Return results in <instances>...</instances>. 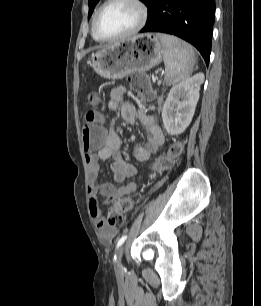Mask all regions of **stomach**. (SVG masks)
Listing matches in <instances>:
<instances>
[{
    "label": "stomach",
    "mask_w": 261,
    "mask_h": 306,
    "mask_svg": "<svg viewBox=\"0 0 261 306\" xmlns=\"http://www.w3.org/2000/svg\"><path fill=\"white\" fill-rule=\"evenodd\" d=\"M162 43L153 33L128 37L93 53L90 66L105 79H122L133 72H145L162 61Z\"/></svg>",
    "instance_id": "1"
}]
</instances>
